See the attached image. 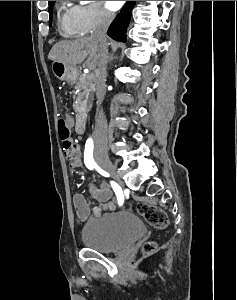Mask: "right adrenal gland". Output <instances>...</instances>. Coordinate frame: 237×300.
Returning <instances> with one entry per match:
<instances>
[{
  "mask_svg": "<svg viewBox=\"0 0 237 300\" xmlns=\"http://www.w3.org/2000/svg\"><path fill=\"white\" fill-rule=\"evenodd\" d=\"M109 61L111 63V61H113V55H111V57H109Z\"/></svg>",
  "mask_w": 237,
  "mask_h": 300,
  "instance_id": "2a0ac1e0",
  "label": "right adrenal gland"
}]
</instances>
